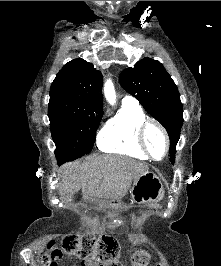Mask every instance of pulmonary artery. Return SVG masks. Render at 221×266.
<instances>
[{
  "instance_id": "e3ab8cb5",
  "label": "pulmonary artery",
  "mask_w": 221,
  "mask_h": 266,
  "mask_svg": "<svg viewBox=\"0 0 221 266\" xmlns=\"http://www.w3.org/2000/svg\"><path fill=\"white\" fill-rule=\"evenodd\" d=\"M122 105H128V106H139V102L138 100L130 95H126L123 99H122Z\"/></svg>"
}]
</instances>
